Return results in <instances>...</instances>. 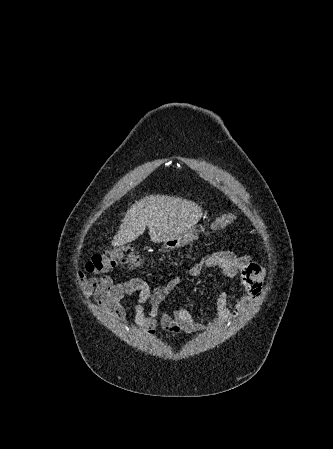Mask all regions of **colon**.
I'll use <instances>...</instances> for the list:
<instances>
[{"mask_svg": "<svg viewBox=\"0 0 333 449\" xmlns=\"http://www.w3.org/2000/svg\"><path fill=\"white\" fill-rule=\"evenodd\" d=\"M235 220V214H224L214 221L212 230H221ZM119 264L126 265L130 268H137L142 264V259L133 247L122 245L112 250H107L94 255L91 260L88 261L86 268L89 272L103 273L115 268Z\"/></svg>", "mask_w": 333, "mask_h": 449, "instance_id": "obj_1", "label": "colon"}]
</instances>
